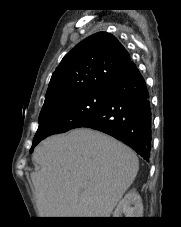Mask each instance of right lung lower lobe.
<instances>
[{"label":"right lung lower lobe","mask_w":181,"mask_h":227,"mask_svg":"<svg viewBox=\"0 0 181 227\" xmlns=\"http://www.w3.org/2000/svg\"><path fill=\"white\" fill-rule=\"evenodd\" d=\"M108 89L109 96L104 107L81 127L99 130L121 140L148 161L152 114L144 78L133 65Z\"/></svg>","instance_id":"obj_1"}]
</instances>
